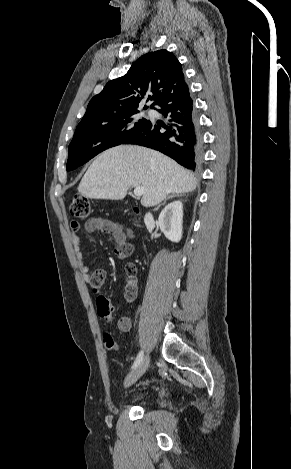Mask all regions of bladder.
I'll use <instances>...</instances> for the list:
<instances>
[{"instance_id": "obj_1", "label": "bladder", "mask_w": 291, "mask_h": 469, "mask_svg": "<svg viewBox=\"0 0 291 469\" xmlns=\"http://www.w3.org/2000/svg\"><path fill=\"white\" fill-rule=\"evenodd\" d=\"M143 398H144L143 393H137L131 398V402H133V403L141 402L143 400Z\"/></svg>"}]
</instances>
